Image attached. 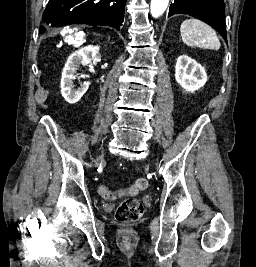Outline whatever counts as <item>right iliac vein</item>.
Wrapping results in <instances>:
<instances>
[{
  "mask_svg": "<svg viewBox=\"0 0 256 267\" xmlns=\"http://www.w3.org/2000/svg\"><path fill=\"white\" fill-rule=\"evenodd\" d=\"M100 160V158H97V162H96V164H98V161Z\"/></svg>",
  "mask_w": 256,
  "mask_h": 267,
  "instance_id": "63e3f726",
  "label": "right iliac vein"
}]
</instances>
